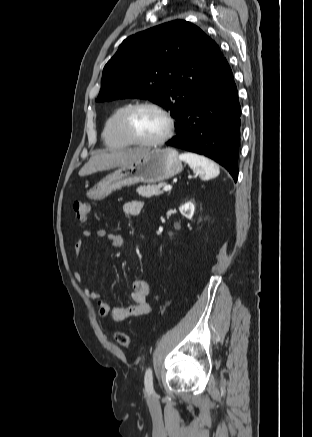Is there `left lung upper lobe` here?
<instances>
[{"instance_id": "5c2ea615", "label": "left lung upper lobe", "mask_w": 312, "mask_h": 437, "mask_svg": "<svg viewBox=\"0 0 312 437\" xmlns=\"http://www.w3.org/2000/svg\"><path fill=\"white\" fill-rule=\"evenodd\" d=\"M223 59L218 45L197 26L183 20L164 23L122 42L103 69L96 101L148 99L178 123Z\"/></svg>"}]
</instances>
